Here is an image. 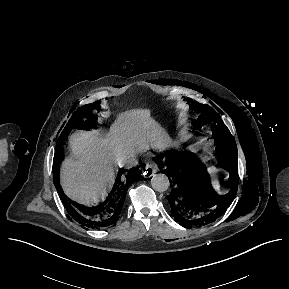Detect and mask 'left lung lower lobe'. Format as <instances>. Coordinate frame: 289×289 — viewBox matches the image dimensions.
I'll return each mask as SVG.
<instances>
[{"label": "left lung lower lobe", "mask_w": 289, "mask_h": 289, "mask_svg": "<svg viewBox=\"0 0 289 289\" xmlns=\"http://www.w3.org/2000/svg\"><path fill=\"white\" fill-rule=\"evenodd\" d=\"M195 156L188 151H172L166 157L163 171L170 181L171 193L167 196L171 215L186 228L206 225L215 221L232 203L238 186L237 162L229 167L231 190L226 195L199 193L192 181Z\"/></svg>", "instance_id": "left-lung-lower-lobe-1"}]
</instances>
